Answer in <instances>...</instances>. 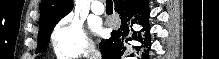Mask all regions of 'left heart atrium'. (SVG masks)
<instances>
[{"mask_svg":"<svg viewBox=\"0 0 219 59\" xmlns=\"http://www.w3.org/2000/svg\"><path fill=\"white\" fill-rule=\"evenodd\" d=\"M91 27H92V29L95 30V31H98V32L101 31L100 26H99L97 23H93V24L91 25Z\"/></svg>","mask_w":219,"mask_h":59,"instance_id":"left-heart-atrium-1","label":"left heart atrium"}]
</instances>
